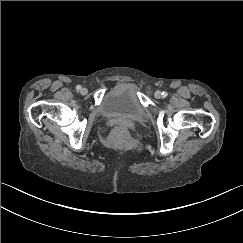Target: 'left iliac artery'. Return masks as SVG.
<instances>
[{"instance_id":"44dca946","label":"left iliac artery","mask_w":243,"mask_h":243,"mask_svg":"<svg viewBox=\"0 0 243 243\" xmlns=\"http://www.w3.org/2000/svg\"><path fill=\"white\" fill-rule=\"evenodd\" d=\"M162 95H163V97H166L168 95V93L167 92H163Z\"/></svg>"}]
</instances>
